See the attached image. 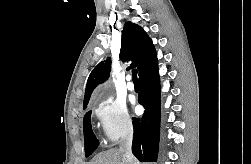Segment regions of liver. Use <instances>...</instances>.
<instances>
[{"label": "liver", "instance_id": "6515ba94", "mask_svg": "<svg viewBox=\"0 0 251 164\" xmlns=\"http://www.w3.org/2000/svg\"><path fill=\"white\" fill-rule=\"evenodd\" d=\"M87 164H127L121 149H110L97 154L91 162ZM136 164H139L136 162Z\"/></svg>", "mask_w": 251, "mask_h": 164}]
</instances>
